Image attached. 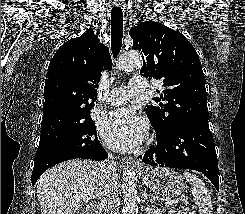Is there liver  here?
<instances>
[{
	"label": "liver",
	"mask_w": 245,
	"mask_h": 214,
	"mask_svg": "<svg viewBox=\"0 0 245 214\" xmlns=\"http://www.w3.org/2000/svg\"><path fill=\"white\" fill-rule=\"evenodd\" d=\"M99 165L76 159L43 173L36 183L41 214H74L82 207L80 195L87 196L84 201L101 199L105 176Z\"/></svg>",
	"instance_id": "1"
}]
</instances>
